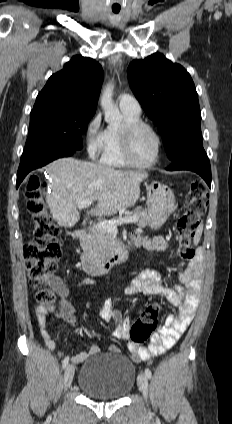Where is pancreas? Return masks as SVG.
Returning a JSON list of instances; mask_svg holds the SVG:
<instances>
[{"label":"pancreas","instance_id":"cf45deb5","mask_svg":"<svg viewBox=\"0 0 232 424\" xmlns=\"http://www.w3.org/2000/svg\"><path fill=\"white\" fill-rule=\"evenodd\" d=\"M127 216H136L138 221L135 223L140 228L148 225L149 216L147 211L142 207H137L134 212L129 213ZM113 242V232L93 228L85 239V247L95 261H101L113 251Z\"/></svg>","mask_w":232,"mask_h":424}]
</instances>
